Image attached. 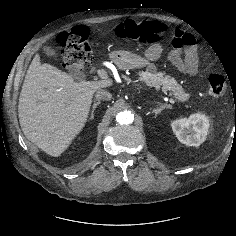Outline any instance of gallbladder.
I'll return each mask as SVG.
<instances>
[{
	"instance_id": "obj_1",
	"label": "gallbladder",
	"mask_w": 236,
	"mask_h": 236,
	"mask_svg": "<svg viewBox=\"0 0 236 236\" xmlns=\"http://www.w3.org/2000/svg\"><path fill=\"white\" fill-rule=\"evenodd\" d=\"M42 51L51 58H57L58 54L57 52L50 46L48 45H44L42 47ZM70 74L77 79H81L82 78V73L78 70V69H71Z\"/></svg>"
}]
</instances>
